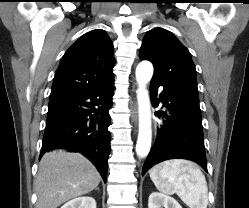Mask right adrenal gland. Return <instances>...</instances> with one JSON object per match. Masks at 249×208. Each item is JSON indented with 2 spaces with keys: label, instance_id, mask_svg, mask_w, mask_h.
Wrapping results in <instances>:
<instances>
[{
  "label": "right adrenal gland",
  "instance_id": "right-adrenal-gland-1",
  "mask_svg": "<svg viewBox=\"0 0 249 208\" xmlns=\"http://www.w3.org/2000/svg\"><path fill=\"white\" fill-rule=\"evenodd\" d=\"M96 190H98V191H99V188L97 187V188H96Z\"/></svg>",
  "mask_w": 249,
  "mask_h": 208
}]
</instances>
